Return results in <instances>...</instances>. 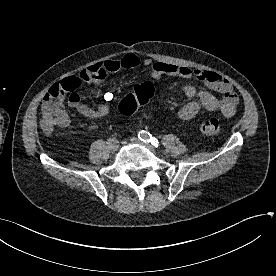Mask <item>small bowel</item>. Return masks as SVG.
<instances>
[{"mask_svg":"<svg viewBox=\"0 0 276 276\" xmlns=\"http://www.w3.org/2000/svg\"><path fill=\"white\" fill-rule=\"evenodd\" d=\"M140 65L149 68L151 76L154 79H158L163 75L184 79L194 78L203 82L209 89L220 94L219 97H216L210 92L199 91L189 83L184 84L182 91L191 100L178 111V117L181 120L192 119L202 109L212 113H220L225 117H231L235 114L238 96L231 83L219 74L206 70L190 69L185 66L170 63L154 62L151 58L142 59L134 53H128L120 59H108L97 62L83 69L78 75L71 76L67 79H77L81 84L84 83L86 85H99L109 74L116 73L122 69H133ZM47 97L48 93L43 99L42 110L48 105ZM113 97L112 92H105L95 106H89L82 103L80 96L75 92L69 96L68 105L87 119H101L110 113V103Z\"/></svg>","mask_w":276,"mask_h":276,"instance_id":"small-bowel-1","label":"small bowel"}]
</instances>
